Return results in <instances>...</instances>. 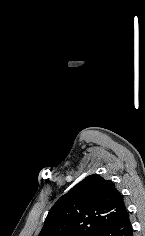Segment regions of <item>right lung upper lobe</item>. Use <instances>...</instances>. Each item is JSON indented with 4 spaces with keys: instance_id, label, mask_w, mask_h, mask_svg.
Here are the masks:
<instances>
[{
    "instance_id": "1",
    "label": "right lung upper lobe",
    "mask_w": 145,
    "mask_h": 236,
    "mask_svg": "<svg viewBox=\"0 0 145 236\" xmlns=\"http://www.w3.org/2000/svg\"><path fill=\"white\" fill-rule=\"evenodd\" d=\"M125 211L113 182L90 175L53 205L38 236H96Z\"/></svg>"
}]
</instances>
